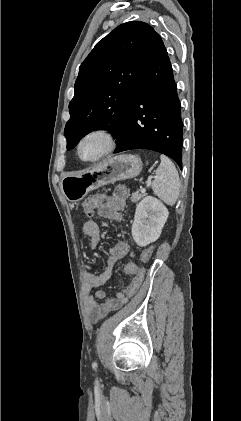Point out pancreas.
Listing matches in <instances>:
<instances>
[{
  "mask_svg": "<svg viewBox=\"0 0 241 421\" xmlns=\"http://www.w3.org/2000/svg\"><path fill=\"white\" fill-rule=\"evenodd\" d=\"M146 194L145 193H139V192H135L131 195V201L136 203L138 202L141 198H143Z\"/></svg>",
  "mask_w": 241,
  "mask_h": 421,
  "instance_id": "pancreas-1",
  "label": "pancreas"
}]
</instances>
